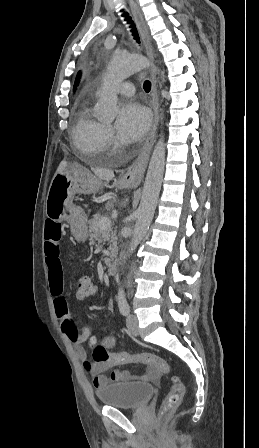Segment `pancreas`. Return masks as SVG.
<instances>
[{"label":"pancreas","mask_w":259,"mask_h":448,"mask_svg":"<svg viewBox=\"0 0 259 448\" xmlns=\"http://www.w3.org/2000/svg\"><path fill=\"white\" fill-rule=\"evenodd\" d=\"M102 218V216H99V214H94L93 220H90L89 222V228H90V242L91 244H96V246H99V244H104V242H109L110 246L108 250L111 252L110 258H105L106 264H109V262H112V260H115L117 258V238L116 232H112V230H100L98 224L99 220Z\"/></svg>","instance_id":"1"}]
</instances>
